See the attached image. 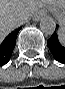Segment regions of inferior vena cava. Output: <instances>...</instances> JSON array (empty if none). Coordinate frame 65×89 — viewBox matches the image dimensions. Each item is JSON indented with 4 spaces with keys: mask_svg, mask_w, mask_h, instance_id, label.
Masks as SVG:
<instances>
[{
    "mask_svg": "<svg viewBox=\"0 0 65 89\" xmlns=\"http://www.w3.org/2000/svg\"><path fill=\"white\" fill-rule=\"evenodd\" d=\"M28 19L27 18H21L19 20L16 21V27L21 26L22 24H24Z\"/></svg>",
    "mask_w": 65,
    "mask_h": 89,
    "instance_id": "1",
    "label": "inferior vena cava"
}]
</instances>
